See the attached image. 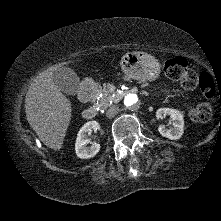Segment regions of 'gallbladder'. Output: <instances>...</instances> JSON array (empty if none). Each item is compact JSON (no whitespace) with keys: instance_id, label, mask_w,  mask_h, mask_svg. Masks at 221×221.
Masks as SVG:
<instances>
[{"instance_id":"1","label":"gallbladder","mask_w":221,"mask_h":221,"mask_svg":"<svg viewBox=\"0 0 221 221\" xmlns=\"http://www.w3.org/2000/svg\"><path fill=\"white\" fill-rule=\"evenodd\" d=\"M55 86L67 95H76L80 89V79L69 67H61L53 74Z\"/></svg>"}]
</instances>
